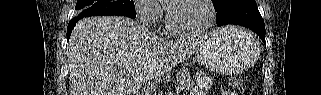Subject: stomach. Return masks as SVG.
<instances>
[{"mask_svg": "<svg viewBox=\"0 0 321 95\" xmlns=\"http://www.w3.org/2000/svg\"><path fill=\"white\" fill-rule=\"evenodd\" d=\"M196 53L198 61L205 68L221 74H233L255 62L260 45L252 33L240 28L225 27L203 41Z\"/></svg>", "mask_w": 321, "mask_h": 95, "instance_id": "1", "label": "stomach"}]
</instances>
